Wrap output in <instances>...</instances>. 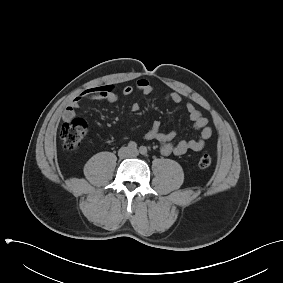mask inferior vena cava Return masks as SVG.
<instances>
[{
  "label": "inferior vena cava",
  "mask_w": 283,
  "mask_h": 283,
  "mask_svg": "<svg viewBox=\"0 0 283 283\" xmlns=\"http://www.w3.org/2000/svg\"><path fill=\"white\" fill-rule=\"evenodd\" d=\"M127 154L124 153V150L123 149H120L119 151V156L120 157H125Z\"/></svg>",
  "instance_id": "1"
}]
</instances>
